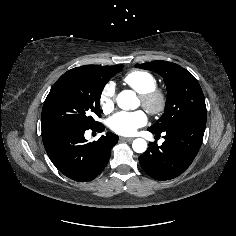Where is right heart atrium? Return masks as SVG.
I'll use <instances>...</instances> for the list:
<instances>
[{
	"label": "right heart atrium",
	"instance_id": "obj_1",
	"mask_svg": "<svg viewBox=\"0 0 236 236\" xmlns=\"http://www.w3.org/2000/svg\"><path fill=\"white\" fill-rule=\"evenodd\" d=\"M115 86L112 82L107 83L100 92L99 102L104 114H109L115 106Z\"/></svg>",
	"mask_w": 236,
	"mask_h": 236
}]
</instances>
